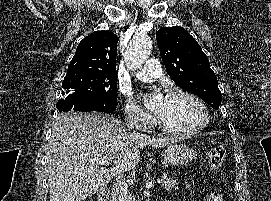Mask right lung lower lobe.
I'll use <instances>...</instances> for the list:
<instances>
[{
  "label": "right lung lower lobe",
  "mask_w": 271,
  "mask_h": 201,
  "mask_svg": "<svg viewBox=\"0 0 271 201\" xmlns=\"http://www.w3.org/2000/svg\"><path fill=\"white\" fill-rule=\"evenodd\" d=\"M116 106L117 101H91L78 97H64L58 101L56 108L60 112L74 110L81 112L99 111L111 113L116 109Z\"/></svg>",
  "instance_id": "right-lung-lower-lobe-1"
}]
</instances>
